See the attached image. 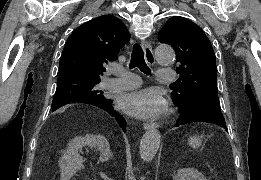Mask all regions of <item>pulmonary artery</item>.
Returning a JSON list of instances; mask_svg holds the SVG:
<instances>
[{
  "mask_svg": "<svg viewBox=\"0 0 261 180\" xmlns=\"http://www.w3.org/2000/svg\"><path fill=\"white\" fill-rule=\"evenodd\" d=\"M158 77H176V72H168V67H157ZM115 78L107 79L104 84L107 87L121 90L127 88H141L139 77L126 69H110ZM159 83H174V78H159Z\"/></svg>",
  "mask_w": 261,
  "mask_h": 180,
  "instance_id": "obj_1",
  "label": "pulmonary artery"
}]
</instances>
